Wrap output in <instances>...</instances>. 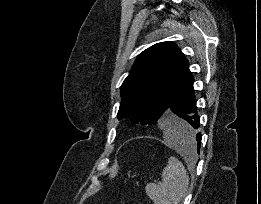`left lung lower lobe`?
I'll list each match as a JSON object with an SVG mask.
<instances>
[{
    "instance_id": "left-lung-lower-lobe-1",
    "label": "left lung lower lobe",
    "mask_w": 261,
    "mask_h": 204,
    "mask_svg": "<svg viewBox=\"0 0 261 204\" xmlns=\"http://www.w3.org/2000/svg\"><path fill=\"white\" fill-rule=\"evenodd\" d=\"M193 82V76L189 72L167 109L163 125L177 141L195 139L199 153L202 135L196 131L200 127V117L197 113ZM176 116L179 120L174 118ZM189 153L191 154V151Z\"/></svg>"
}]
</instances>
